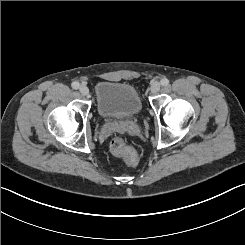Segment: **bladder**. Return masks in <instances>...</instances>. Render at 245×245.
I'll list each match as a JSON object with an SVG mask.
<instances>
[{"instance_id": "31cf9c89", "label": "bladder", "mask_w": 245, "mask_h": 245, "mask_svg": "<svg viewBox=\"0 0 245 245\" xmlns=\"http://www.w3.org/2000/svg\"><path fill=\"white\" fill-rule=\"evenodd\" d=\"M96 106L104 118L124 119L135 116L142 102L131 85L100 82L96 85Z\"/></svg>"}]
</instances>
